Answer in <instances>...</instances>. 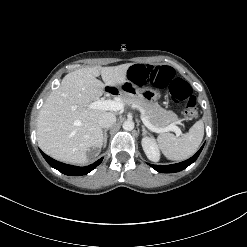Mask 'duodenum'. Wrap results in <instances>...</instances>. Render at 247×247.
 <instances>
[{
	"instance_id": "410a0bca",
	"label": "duodenum",
	"mask_w": 247,
	"mask_h": 247,
	"mask_svg": "<svg viewBox=\"0 0 247 247\" xmlns=\"http://www.w3.org/2000/svg\"><path fill=\"white\" fill-rule=\"evenodd\" d=\"M108 91H109V92H115L116 89H115V88H109Z\"/></svg>"
}]
</instances>
